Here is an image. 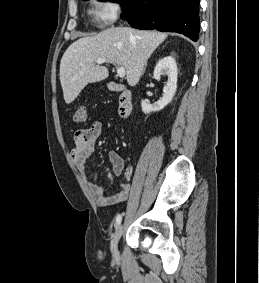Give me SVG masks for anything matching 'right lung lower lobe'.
Returning <instances> with one entry per match:
<instances>
[{
	"label": "right lung lower lobe",
	"instance_id": "1",
	"mask_svg": "<svg viewBox=\"0 0 259 283\" xmlns=\"http://www.w3.org/2000/svg\"><path fill=\"white\" fill-rule=\"evenodd\" d=\"M121 18L133 28L178 32L197 41L199 0H121Z\"/></svg>",
	"mask_w": 259,
	"mask_h": 283
}]
</instances>
